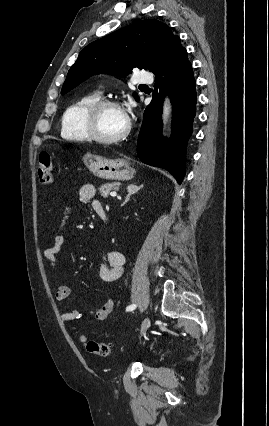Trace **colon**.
<instances>
[{
    "label": "colon",
    "instance_id": "5ec220e1",
    "mask_svg": "<svg viewBox=\"0 0 269 426\" xmlns=\"http://www.w3.org/2000/svg\"><path fill=\"white\" fill-rule=\"evenodd\" d=\"M54 166L52 155L49 152H42L39 155L38 175L40 181L45 184L52 182ZM80 342L86 347V350L94 355L108 356L111 352V346L108 343L96 342L87 339L85 336H80Z\"/></svg>",
    "mask_w": 269,
    "mask_h": 426
}]
</instances>
